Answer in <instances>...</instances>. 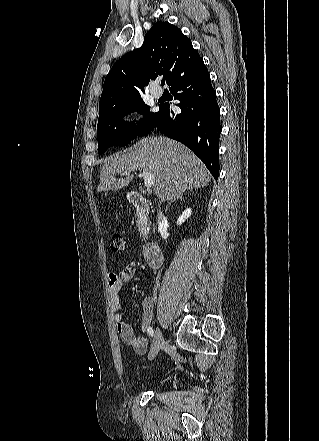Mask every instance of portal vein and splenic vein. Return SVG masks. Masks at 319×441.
<instances>
[{
    "label": "portal vein and splenic vein",
    "instance_id": "obj_1",
    "mask_svg": "<svg viewBox=\"0 0 319 441\" xmlns=\"http://www.w3.org/2000/svg\"><path fill=\"white\" fill-rule=\"evenodd\" d=\"M127 173H129V171H127V170L124 171V174H127ZM139 176L142 177V178L144 179V185H145L147 188L152 187V185H153V183H154V179H155V177H154V175H153L152 173H149V172L143 170V171L140 173Z\"/></svg>",
    "mask_w": 319,
    "mask_h": 441
}]
</instances>
